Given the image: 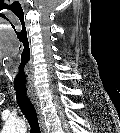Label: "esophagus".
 <instances>
[{"label":"esophagus","mask_w":120,"mask_h":133,"mask_svg":"<svg viewBox=\"0 0 120 133\" xmlns=\"http://www.w3.org/2000/svg\"><path fill=\"white\" fill-rule=\"evenodd\" d=\"M28 96L36 108L42 133H46L44 119L36 91L34 89L28 90Z\"/></svg>","instance_id":"esophagus-1"}]
</instances>
